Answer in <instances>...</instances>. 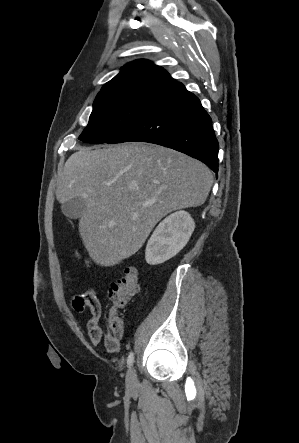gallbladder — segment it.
<instances>
[{
  "instance_id": "gallbladder-1",
  "label": "gallbladder",
  "mask_w": 299,
  "mask_h": 443,
  "mask_svg": "<svg viewBox=\"0 0 299 443\" xmlns=\"http://www.w3.org/2000/svg\"><path fill=\"white\" fill-rule=\"evenodd\" d=\"M87 209L86 199L77 196L64 202L61 206L62 213L70 219L80 218Z\"/></svg>"
}]
</instances>
